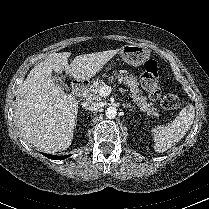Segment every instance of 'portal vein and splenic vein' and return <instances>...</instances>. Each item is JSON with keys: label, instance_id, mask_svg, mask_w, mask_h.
I'll use <instances>...</instances> for the list:
<instances>
[{"label": "portal vein and splenic vein", "instance_id": "1", "mask_svg": "<svg viewBox=\"0 0 209 209\" xmlns=\"http://www.w3.org/2000/svg\"><path fill=\"white\" fill-rule=\"evenodd\" d=\"M111 91H112V87H111V86L104 85V86L100 89L99 94H100L101 96H108V95L111 93ZM119 91H120L121 93H124V90H123V88H121V87H119Z\"/></svg>", "mask_w": 209, "mask_h": 209}]
</instances>
